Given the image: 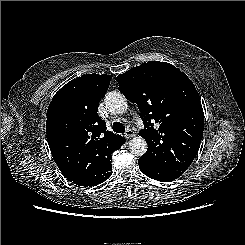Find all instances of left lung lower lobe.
<instances>
[{
	"mask_svg": "<svg viewBox=\"0 0 245 245\" xmlns=\"http://www.w3.org/2000/svg\"><path fill=\"white\" fill-rule=\"evenodd\" d=\"M140 170L148 177L161 181V182H170L172 180L180 177L183 172L178 170H171L167 168H163L145 160L139 158L138 160Z\"/></svg>",
	"mask_w": 245,
	"mask_h": 245,
	"instance_id": "obj_1",
	"label": "left lung lower lobe"
}]
</instances>
